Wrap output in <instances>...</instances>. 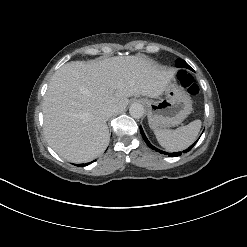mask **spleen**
I'll return each instance as SVG.
<instances>
[{"mask_svg":"<svg viewBox=\"0 0 247 247\" xmlns=\"http://www.w3.org/2000/svg\"><path fill=\"white\" fill-rule=\"evenodd\" d=\"M201 128V120L192 121L175 130L157 129L154 131L159 144L170 152L188 148L197 138Z\"/></svg>","mask_w":247,"mask_h":247,"instance_id":"1","label":"spleen"}]
</instances>
